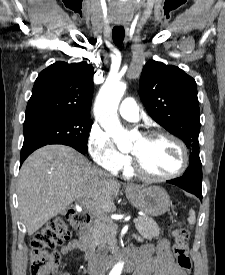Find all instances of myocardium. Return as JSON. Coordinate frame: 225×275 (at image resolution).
<instances>
[{"label":"myocardium","instance_id":"obj_1","mask_svg":"<svg viewBox=\"0 0 225 275\" xmlns=\"http://www.w3.org/2000/svg\"><path fill=\"white\" fill-rule=\"evenodd\" d=\"M143 137L149 140L156 139V138H165V139L171 140L179 148L182 159H181V164L176 171L166 175H154L147 172L143 168L140 162V159L135 154L132 153V170L136 175L150 181H167L180 176L186 171L189 164V154H188L187 147L182 140H180L178 137L170 133L162 132V131H151L144 134Z\"/></svg>","mask_w":225,"mask_h":275}]
</instances>
